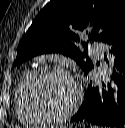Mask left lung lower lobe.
<instances>
[{"label":"left lung lower lobe","instance_id":"left-lung-lower-lobe-1","mask_svg":"<svg viewBox=\"0 0 125 128\" xmlns=\"http://www.w3.org/2000/svg\"><path fill=\"white\" fill-rule=\"evenodd\" d=\"M114 55L111 81L105 88L90 82L84 101L72 121L86 120L109 128L125 126V25L107 43ZM106 58V54L104 55ZM89 71L84 74L87 75Z\"/></svg>","mask_w":125,"mask_h":128}]
</instances>
